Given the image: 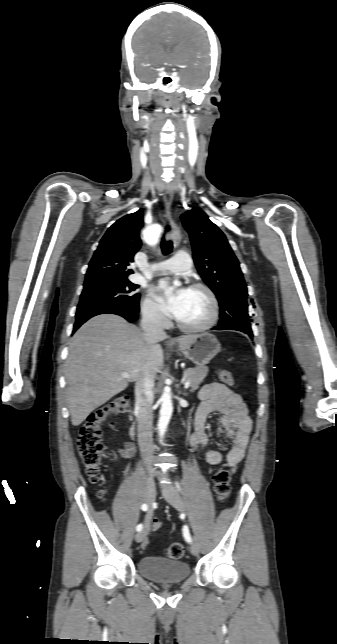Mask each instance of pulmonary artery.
Returning a JSON list of instances; mask_svg holds the SVG:
<instances>
[{"label": "pulmonary artery", "mask_w": 337, "mask_h": 644, "mask_svg": "<svg viewBox=\"0 0 337 644\" xmlns=\"http://www.w3.org/2000/svg\"><path fill=\"white\" fill-rule=\"evenodd\" d=\"M192 261L190 256L185 252H178L169 260L153 264L151 271L168 270L173 273H181L191 268Z\"/></svg>", "instance_id": "1"}]
</instances>
